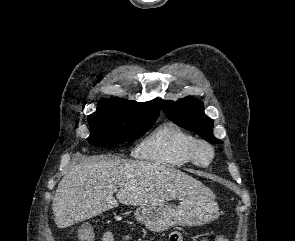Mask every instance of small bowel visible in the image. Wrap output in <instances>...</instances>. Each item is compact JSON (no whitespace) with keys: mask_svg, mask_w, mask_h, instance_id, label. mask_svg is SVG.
I'll return each instance as SVG.
<instances>
[{"mask_svg":"<svg viewBox=\"0 0 295 241\" xmlns=\"http://www.w3.org/2000/svg\"><path fill=\"white\" fill-rule=\"evenodd\" d=\"M173 233H171L170 237L172 236ZM127 240H131L132 237L131 236H128L126 238ZM114 240V237H113V234L112 233H106L104 236H103V241H113ZM136 241H142L141 239H137Z\"/></svg>","mask_w":295,"mask_h":241,"instance_id":"obj_1","label":"small bowel"}]
</instances>
